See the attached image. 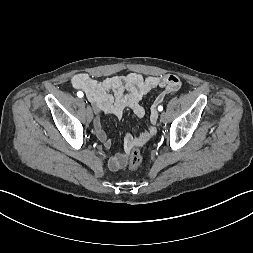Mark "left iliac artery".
Here are the masks:
<instances>
[{
    "label": "left iliac artery",
    "instance_id": "44dca946",
    "mask_svg": "<svg viewBox=\"0 0 253 253\" xmlns=\"http://www.w3.org/2000/svg\"><path fill=\"white\" fill-rule=\"evenodd\" d=\"M158 110H159V111H162V110H163V107H162V106H159V107H158Z\"/></svg>",
    "mask_w": 253,
    "mask_h": 253
}]
</instances>
